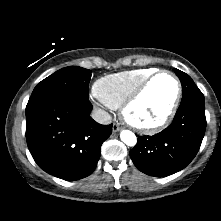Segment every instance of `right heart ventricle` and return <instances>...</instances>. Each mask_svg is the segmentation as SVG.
Instances as JSON below:
<instances>
[{"label":"right heart ventricle","mask_w":221,"mask_h":221,"mask_svg":"<svg viewBox=\"0 0 221 221\" xmlns=\"http://www.w3.org/2000/svg\"><path fill=\"white\" fill-rule=\"evenodd\" d=\"M155 71V68H137L103 76L94 83L93 92L106 106L119 108L132 91Z\"/></svg>","instance_id":"obj_1"}]
</instances>
